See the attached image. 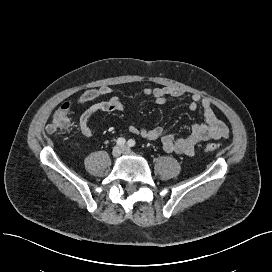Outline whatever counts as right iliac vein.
Here are the masks:
<instances>
[{
    "instance_id": "obj_1",
    "label": "right iliac vein",
    "mask_w": 272,
    "mask_h": 272,
    "mask_svg": "<svg viewBox=\"0 0 272 272\" xmlns=\"http://www.w3.org/2000/svg\"><path fill=\"white\" fill-rule=\"evenodd\" d=\"M123 152L122 147L120 146H115L112 150V155L113 157H119Z\"/></svg>"
}]
</instances>
